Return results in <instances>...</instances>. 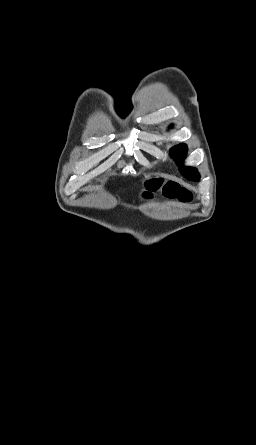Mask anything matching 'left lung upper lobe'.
I'll return each instance as SVG.
<instances>
[{"label":"left lung upper lobe","instance_id":"obj_1","mask_svg":"<svg viewBox=\"0 0 256 445\" xmlns=\"http://www.w3.org/2000/svg\"><path fill=\"white\" fill-rule=\"evenodd\" d=\"M187 153V146L185 144H179L170 149V154L177 162L180 172L189 180L198 181L200 175L195 168L185 167L182 160L185 158Z\"/></svg>","mask_w":256,"mask_h":445}]
</instances>
